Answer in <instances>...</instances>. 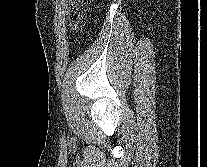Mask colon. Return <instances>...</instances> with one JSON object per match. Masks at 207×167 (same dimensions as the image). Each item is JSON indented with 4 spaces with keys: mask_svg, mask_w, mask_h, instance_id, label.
<instances>
[{
    "mask_svg": "<svg viewBox=\"0 0 207 167\" xmlns=\"http://www.w3.org/2000/svg\"><path fill=\"white\" fill-rule=\"evenodd\" d=\"M90 0H73L69 17L74 26H77L84 18Z\"/></svg>",
    "mask_w": 207,
    "mask_h": 167,
    "instance_id": "1",
    "label": "colon"
}]
</instances>
